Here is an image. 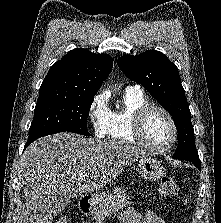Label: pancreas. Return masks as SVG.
<instances>
[{
	"instance_id": "1",
	"label": "pancreas",
	"mask_w": 221,
	"mask_h": 223,
	"mask_svg": "<svg viewBox=\"0 0 221 223\" xmlns=\"http://www.w3.org/2000/svg\"><path fill=\"white\" fill-rule=\"evenodd\" d=\"M131 203V198L128 196L126 191L122 188H117L113 194H110L104 200L100 209L95 212L94 219L96 223H102L107 216L123 209L124 207L130 206Z\"/></svg>"
}]
</instances>
